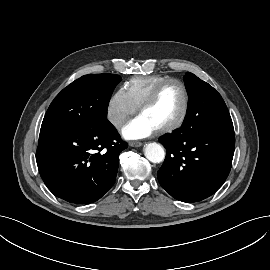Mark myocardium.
<instances>
[{"label": "myocardium", "instance_id": "f54148a6", "mask_svg": "<svg viewBox=\"0 0 270 270\" xmlns=\"http://www.w3.org/2000/svg\"><path fill=\"white\" fill-rule=\"evenodd\" d=\"M172 83L178 84L182 88L183 95H184L183 108H182V112H181L179 118L176 121H174L173 123H171L169 125H166V126H163L159 129H157V132L160 134L173 132V131L179 129L185 123V121L188 117L189 108H190V95H189V91H188L186 84L182 80L177 79V78L167 79V80L159 83L158 85H156L154 87V89L150 92V94L147 96V98L143 101V103L139 107V112L142 113L144 110H146L148 107H150L156 101V99L158 98L161 91L167 85L172 84Z\"/></svg>", "mask_w": 270, "mask_h": 270}]
</instances>
